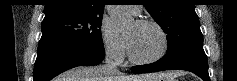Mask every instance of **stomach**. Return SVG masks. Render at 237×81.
Wrapping results in <instances>:
<instances>
[{
    "instance_id": "stomach-1",
    "label": "stomach",
    "mask_w": 237,
    "mask_h": 81,
    "mask_svg": "<svg viewBox=\"0 0 237 81\" xmlns=\"http://www.w3.org/2000/svg\"><path fill=\"white\" fill-rule=\"evenodd\" d=\"M152 81H173L172 78L164 77V78H157Z\"/></svg>"
}]
</instances>
